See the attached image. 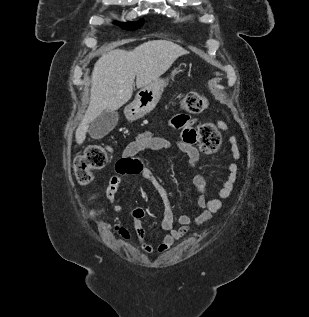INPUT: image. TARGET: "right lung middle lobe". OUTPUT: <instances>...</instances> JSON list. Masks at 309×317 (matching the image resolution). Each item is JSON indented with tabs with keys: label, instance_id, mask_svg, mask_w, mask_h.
Here are the masks:
<instances>
[{
	"label": "right lung middle lobe",
	"instance_id": "right-lung-middle-lobe-1",
	"mask_svg": "<svg viewBox=\"0 0 309 317\" xmlns=\"http://www.w3.org/2000/svg\"><path fill=\"white\" fill-rule=\"evenodd\" d=\"M144 21L139 20L137 22L118 23V25L125 30H136L143 25Z\"/></svg>",
	"mask_w": 309,
	"mask_h": 317
}]
</instances>
